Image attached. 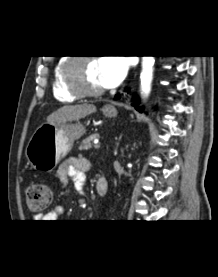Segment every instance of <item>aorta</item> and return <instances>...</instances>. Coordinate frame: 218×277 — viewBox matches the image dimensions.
<instances>
[{
  "label": "aorta",
  "instance_id": "obj_1",
  "mask_svg": "<svg viewBox=\"0 0 218 277\" xmlns=\"http://www.w3.org/2000/svg\"><path fill=\"white\" fill-rule=\"evenodd\" d=\"M154 63H155L154 56L142 57V71H141L140 79H141V93L143 97H148V95L151 92Z\"/></svg>",
  "mask_w": 218,
  "mask_h": 277
}]
</instances>
